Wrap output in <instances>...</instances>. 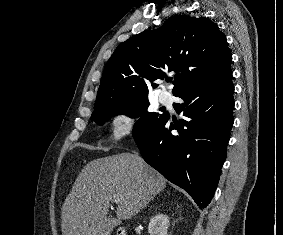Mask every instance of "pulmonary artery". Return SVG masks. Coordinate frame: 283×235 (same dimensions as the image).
Masks as SVG:
<instances>
[{
    "mask_svg": "<svg viewBox=\"0 0 283 235\" xmlns=\"http://www.w3.org/2000/svg\"><path fill=\"white\" fill-rule=\"evenodd\" d=\"M172 96L169 92H162L160 93V101L164 104L171 103Z\"/></svg>",
    "mask_w": 283,
    "mask_h": 235,
    "instance_id": "obj_1",
    "label": "pulmonary artery"
}]
</instances>
